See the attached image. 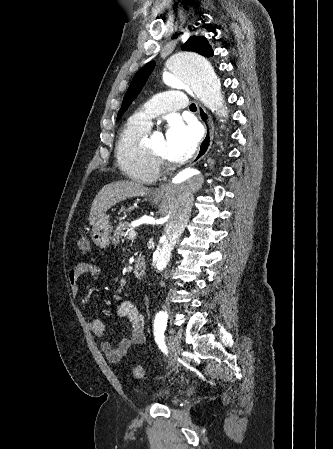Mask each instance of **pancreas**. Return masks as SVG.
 <instances>
[{"mask_svg":"<svg viewBox=\"0 0 333 449\" xmlns=\"http://www.w3.org/2000/svg\"><path fill=\"white\" fill-rule=\"evenodd\" d=\"M131 228L130 224L128 222H120L117 226L116 230L114 231V236L112 239L113 244H119L120 239L122 237H125L127 235V231Z\"/></svg>","mask_w":333,"mask_h":449,"instance_id":"pancreas-1","label":"pancreas"}]
</instances>
